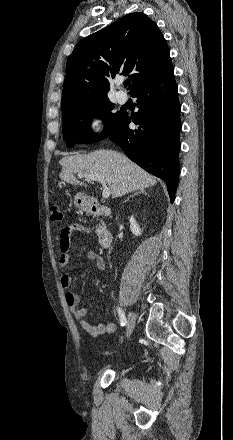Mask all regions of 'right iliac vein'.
I'll list each match as a JSON object with an SVG mask.
<instances>
[{"instance_id": "1", "label": "right iliac vein", "mask_w": 233, "mask_h": 440, "mask_svg": "<svg viewBox=\"0 0 233 440\" xmlns=\"http://www.w3.org/2000/svg\"><path fill=\"white\" fill-rule=\"evenodd\" d=\"M134 327H135V315L132 312H129L127 317V325H126V337H129L132 334Z\"/></svg>"}]
</instances>
